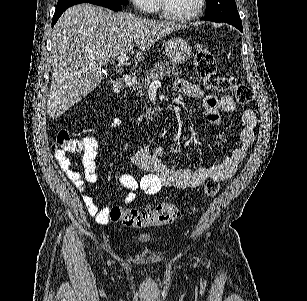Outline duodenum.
Segmentation results:
<instances>
[{
    "instance_id": "410a0bca",
    "label": "duodenum",
    "mask_w": 307,
    "mask_h": 301,
    "mask_svg": "<svg viewBox=\"0 0 307 301\" xmlns=\"http://www.w3.org/2000/svg\"><path fill=\"white\" fill-rule=\"evenodd\" d=\"M123 82L126 87H132L135 84L136 79L134 76L127 74L123 77Z\"/></svg>"
}]
</instances>
